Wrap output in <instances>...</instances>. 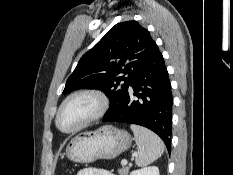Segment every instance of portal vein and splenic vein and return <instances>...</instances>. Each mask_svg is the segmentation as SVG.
I'll list each match as a JSON object with an SVG mask.
<instances>
[{
	"label": "portal vein and splenic vein",
	"instance_id": "obj_1",
	"mask_svg": "<svg viewBox=\"0 0 233 175\" xmlns=\"http://www.w3.org/2000/svg\"><path fill=\"white\" fill-rule=\"evenodd\" d=\"M127 163H128V162H127V160H125V159L121 161V164H122L123 166L127 165Z\"/></svg>",
	"mask_w": 233,
	"mask_h": 175
}]
</instances>
